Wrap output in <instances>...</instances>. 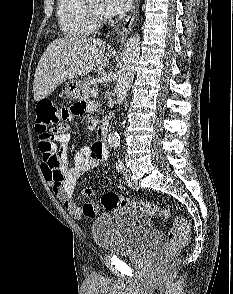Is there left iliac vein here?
Segmentation results:
<instances>
[{
	"label": "left iliac vein",
	"instance_id": "1",
	"mask_svg": "<svg viewBox=\"0 0 233 294\" xmlns=\"http://www.w3.org/2000/svg\"><path fill=\"white\" fill-rule=\"evenodd\" d=\"M123 175H124V179H125L126 183L128 184V186L131 189H133V190H138L139 189L138 184L131 179V172H130L129 169L126 168L124 170V172H123Z\"/></svg>",
	"mask_w": 233,
	"mask_h": 294
}]
</instances>
